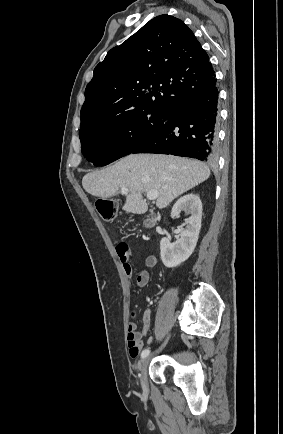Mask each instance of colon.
<instances>
[{
    "instance_id": "1",
    "label": "colon",
    "mask_w": 283,
    "mask_h": 434,
    "mask_svg": "<svg viewBox=\"0 0 283 434\" xmlns=\"http://www.w3.org/2000/svg\"><path fill=\"white\" fill-rule=\"evenodd\" d=\"M96 209L101 218L112 222L117 217V206L114 200L101 198L96 201Z\"/></svg>"
}]
</instances>
